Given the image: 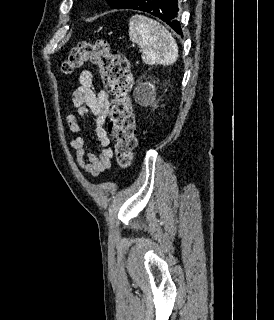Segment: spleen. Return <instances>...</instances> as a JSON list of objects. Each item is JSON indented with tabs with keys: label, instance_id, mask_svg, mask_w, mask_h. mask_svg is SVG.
I'll return each mask as SVG.
<instances>
[{
	"label": "spleen",
	"instance_id": "obj_1",
	"mask_svg": "<svg viewBox=\"0 0 274 320\" xmlns=\"http://www.w3.org/2000/svg\"><path fill=\"white\" fill-rule=\"evenodd\" d=\"M129 38L142 48L144 64L171 66L178 58V46L170 32L156 20L146 16H132L129 22Z\"/></svg>",
	"mask_w": 274,
	"mask_h": 320
}]
</instances>
